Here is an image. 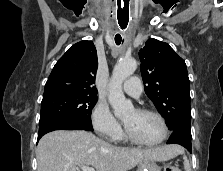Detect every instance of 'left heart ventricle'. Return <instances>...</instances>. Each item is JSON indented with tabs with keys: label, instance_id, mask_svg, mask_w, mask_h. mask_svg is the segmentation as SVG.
I'll return each mask as SVG.
<instances>
[{
	"label": "left heart ventricle",
	"instance_id": "1",
	"mask_svg": "<svg viewBox=\"0 0 223 171\" xmlns=\"http://www.w3.org/2000/svg\"><path fill=\"white\" fill-rule=\"evenodd\" d=\"M123 122L138 140L146 143L158 141L163 133L160 121L150 114H141L131 110L123 117Z\"/></svg>",
	"mask_w": 223,
	"mask_h": 171
}]
</instances>
